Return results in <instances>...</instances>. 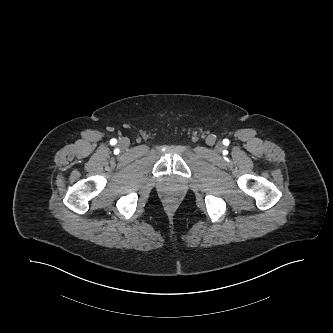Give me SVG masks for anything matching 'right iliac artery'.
<instances>
[{
	"label": "right iliac artery",
	"instance_id": "82829eb1",
	"mask_svg": "<svg viewBox=\"0 0 333 333\" xmlns=\"http://www.w3.org/2000/svg\"><path fill=\"white\" fill-rule=\"evenodd\" d=\"M111 143H112V144H116V139H112V140H111Z\"/></svg>",
	"mask_w": 333,
	"mask_h": 333
}]
</instances>
